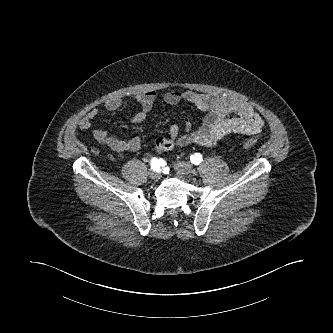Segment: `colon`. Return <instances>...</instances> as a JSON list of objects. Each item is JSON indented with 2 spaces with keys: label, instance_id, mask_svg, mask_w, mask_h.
<instances>
[{
  "label": "colon",
  "instance_id": "5ec220e1",
  "mask_svg": "<svg viewBox=\"0 0 333 333\" xmlns=\"http://www.w3.org/2000/svg\"><path fill=\"white\" fill-rule=\"evenodd\" d=\"M255 145H256L255 141H253V140H247V141H245L243 143V148L245 150H251V149H253L255 147Z\"/></svg>",
  "mask_w": 333,
  "mask_h": 333
}]
</instances>
